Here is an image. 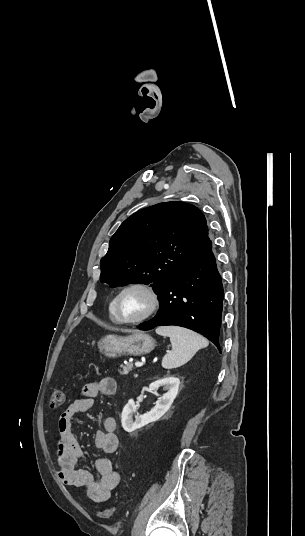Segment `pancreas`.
<instances>
[{"instance_id":"1","label":"pancreas","mask_w":305,"mask_h":536,"mask_svg":"<svg viewBox=\"0 0 305 536\" xmlns=\"http://www.w3.org/2000/svg\"><path fill=\"white\" fill-rule=\"evenodd\" d=\"M120 368H122V370H119V374H122V376H125V374H129V372H133L134 370L132 362L121 364Z\"/></svg>"}]
</instances>
